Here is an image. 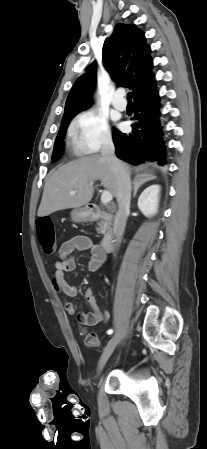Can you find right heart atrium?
I'll use <instances>...</instances> for the list:
<instances>
[{"label": "right heart atrium", "instance_id": "1", "mask_svg": "<svg viewBox=\"0 0 207 449\" xmlns=\"http://www.w3.org/2000/svg\"><path fill=\"white\" fill-rule=\"evenodd\" d=\"M78 147L85 153L98 152L112 142L107 120L94 110L79 113L72 124Z\"/></svg>", "mask_w": 207, "mask_h": 449}]
</instances>
